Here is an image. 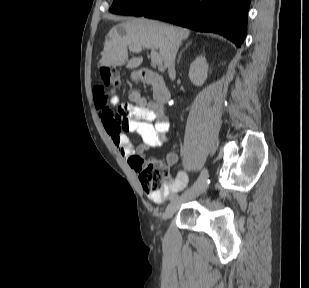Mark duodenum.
Returning a JSON list of instances; mask_svg holds the SVG:
<instances>
[{
	"mask_svg": "<svg viewBox=\"0 0 309 288\" xmlns=\"http://www.w3.org/2000/svg\"><path fill=\"white\" fill-rule=\"evenodd\" d=\"M140 75L145 83L152 86L157 105L160 107L165 106L170 99V92L162 76L147 68L141 69Z\"/></svg>",
	"mask_w": 309,
	"mask_h": 288,
	"instance_id": "410a0bca",
	"label": "duodenum"
}]
</instances>
